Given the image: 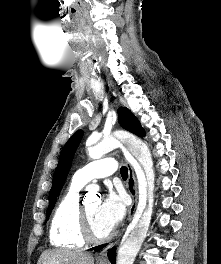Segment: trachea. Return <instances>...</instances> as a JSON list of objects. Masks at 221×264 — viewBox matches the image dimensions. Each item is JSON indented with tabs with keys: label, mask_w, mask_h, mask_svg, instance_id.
Wrapping results in <instances>:
<instances>
[{
	"label": "trachea",
	"mask_w": 221,
	"mask_h": 264,
	"mask_svg": "<svg viewBox=\"0 0 221 264\" xmlns=\"http://www.w3.org/2000/svg\"><path fill=\"white\" fill-rule=\"evenodd\" d=\"M121 176L123 179H127L128 177V169L125 166H122L120 169Z\"/></svg>",
	"instance_id": "3493384b"
}]
</instances>
